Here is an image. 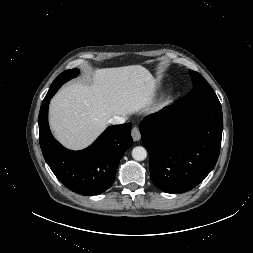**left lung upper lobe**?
Wrapping results in <instances>:
<instances>
[{
  "instance_id": "1",
  "label": "left lung upper lobe",
  "mask_w": 253,
  "mask_h": 253,
  "mask_svg": "<svg viewBox=\"0 0 253 253\" xmlns=\"http://www.w3.org/2000/svg\"><path fill=\"white\" fill-rule=\"evenodd\" d=\"M193 81V89L186 96L177 101L182 106H215L221 107L217 95L212 87L199 73L189 70Z\"/></svg>"
}]
</instances>
